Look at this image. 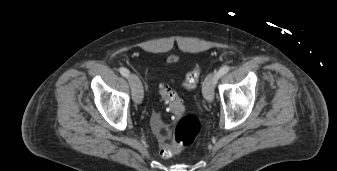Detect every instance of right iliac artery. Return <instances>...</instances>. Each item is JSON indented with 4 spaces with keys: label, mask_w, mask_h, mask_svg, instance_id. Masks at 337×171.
Instances as JSON below:
<instances>
[{
    "label": "right iliac artery",
    "mask_w": 337,
    "mask_h": 171,
    "mask_svg": "<svg viewBox=\"0 0 337 171\" xmlns=\"http://www.w3.org/2000/svg\"><path fill=\"white\" fill-rule=\"evenodd\" d=\"M121 75H123L124 77H128L129 76V70H127L126 68H120L119 69Z\"/></svg>",
    "instance_id": "1"
}]
</instances>
